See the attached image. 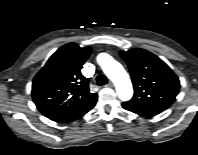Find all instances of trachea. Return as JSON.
Returning a JSON list of instances; mask_svg holds the SVG:
<instances>
[{"label":"trachea","mask_w":198,"mask_h":155,"mask_svg":"<svg viewBox=\"0 0 198 155\" xmlns=\"http://www.w3.org/2000/svg\"><path fill=\"white\" fill-rule=\"evenodd\" d=\"M96 82H97L98 85L101 86V85L107 84L108 80L104 75H99L96 78Z\"/></svg>","instance_id":"obj_1"}]
</instances>
